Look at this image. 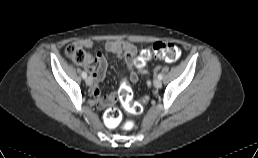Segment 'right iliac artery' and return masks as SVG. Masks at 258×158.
I'll use <instances>...</instances> for the list:
<instances>
[{"instance_id":"obj_1","label":"right iliac artery","mask_w":258,"mask_h":158,"mask_svg":"<svg viewBox=\"0 0 258 158\" xmlns=\"http://www.w3.org/2000/svg\"><path fill=\"white\" fill-rule=\"evenodd\" d=\"M82 77H83V79H86L87 74H86V72H85V71H83V72H82Z\"/></svg>"}]
</instances>
